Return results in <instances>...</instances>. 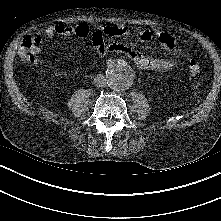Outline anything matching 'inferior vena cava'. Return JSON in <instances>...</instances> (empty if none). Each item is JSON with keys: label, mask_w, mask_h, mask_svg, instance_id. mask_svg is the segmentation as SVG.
Here are the masks:
<instances>
[{"label": "inferior vena cava", "mask_w": 221, "mask_h": 221, "mask_svg": "<svg viewBox=\"0 0 221 221\" xmlns=\"http://www.w3.org/2000/svg\"><path fill=\"white\" fill-rule=\"evenodd\" d=\"M94 85L97 87H105L107 85V79L102 75V74H98L95 78H94Z\"/></svg>", "instance_id": "inferior-vena-cava-1"}]
</instances>
